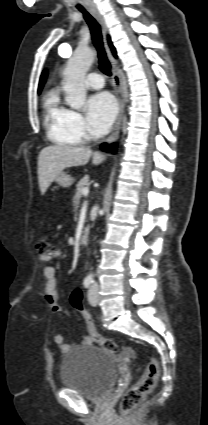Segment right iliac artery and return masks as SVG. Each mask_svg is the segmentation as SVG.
Listing matches in <instances>:
<instances>
[{
	"instance_id": "right-iliac-artery-1",
	"label": "right iliac artery",
	"mask_w": 208,
	"mask_h": 425,
	"mask_svg": "<svg viewBox=\"0 0 208 425\" xmlns=\"http://www.w3.org/2000/svg\"><path fill=\"white\" fill-rule=\"evenodd\" d=\"M93 283V280L91 278H86L83 282V285L85 288H88Z\"/></svg>"
}]
</instances>
